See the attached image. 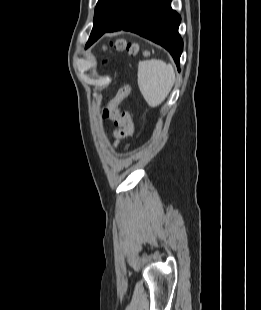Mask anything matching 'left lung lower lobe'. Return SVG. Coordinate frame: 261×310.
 <instances>
[{"label": "left lung lower lobe", "mask_w": 261, "mask_h": 310, "mask_svg": "<svg viewBox=\"0 0 261 310\" xmlns=\"http://www.w3.org/2000/svg\"><path fill=\"white\" fill-rule=\"evenodd\" d=\"M170 4L171 0H122L108 23L94 24L86 47L106 32L131 31L167 49L179 67L183 50V41L178 33L181 17Z\"/></svg>", "instance_id": "obj_1"}]
</instances>
